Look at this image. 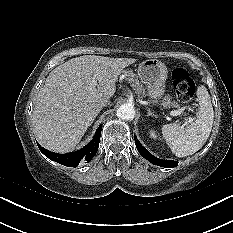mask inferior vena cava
Segmentation results:
<instances>
[{
    "mask_svg": "<svg viewBox=\"0 0 233 233\" xmlns=\"http://www.w3.org/2000/svg\"><path fill=\"white\" fill-rule=\"evenodd\" d=\"M110 101H109V97H104L101 98L98 103H97V107L102 108L104 106L109 105Z\"/></svg>",
    "mask_w": 233,
    "mask_h": 233,
    "instance_id": "inferior-vena-cava-1",
    "label": "inferior vena cava"
}]
</instances>
